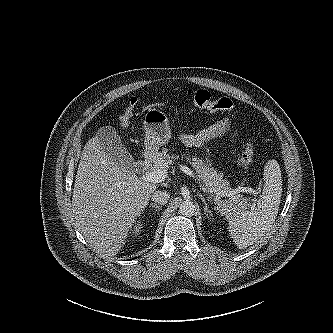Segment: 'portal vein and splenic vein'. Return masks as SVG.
I'll use <instances>...</instances> for the list:
<instances>
[{
    "mask_svg": "<svg viewBox=\"0 0 333 333\" xmlns=\"http://www.w3.org/2000/svg\"><path fill=\"white\" fill-rule=\"evenodd\" d=\"M178 167L185 174H187L190 177H192L193 179H195V181L199 184V186H200V188L203 192H205V193L208 192V193L212 194V191H209L204 185L201 184L200 179L193 172V170H191L186 165H182V164H180ZM167 173H168L167 169L165 167H162L161 169L145 173L144 175L141 176V179L144 180V181L151 182V183H161L166 179ZM240 192H247V193H251V194H254V195L257 194V190H254L251 187H238V188L232 190L229 193V196H232L234 199L239 198L240 197V194H239ZM217 194L220 195V193H217ZM253 201H255V200H253ZM240 205L243 208L246 207L245 203H241Z\"/></svg>",
    "mask_w": 333,
    "mask_h": 333,
    "instance_id": "1",
    "label": "portal vein and splenic vein"
}]
</instances>
